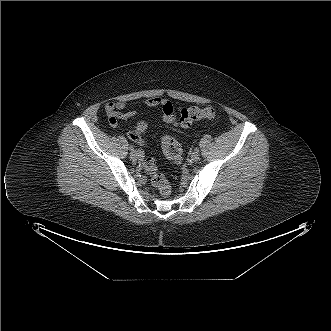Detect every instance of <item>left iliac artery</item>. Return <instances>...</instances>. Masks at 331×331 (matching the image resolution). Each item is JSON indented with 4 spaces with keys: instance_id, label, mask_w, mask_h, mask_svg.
Returning a JSON list of instances; mask_svg holds the SVG:
<instances>
[{
    "instance_id": "1",
    "label": "left iliac artery",
    "mask_w": 331,
    "mask_h": 331,
    "mask_svg": "<svg viewBox=\"0 0 331 331\" xmlns=\"http://www.w3.org/2000/svg\"><path fill=\"white\" fill-rule=\"evenodd\" d=\"M194 151L198 153L199 152V149L198 148H195Z\"/></svg>"
}]
</instances>
